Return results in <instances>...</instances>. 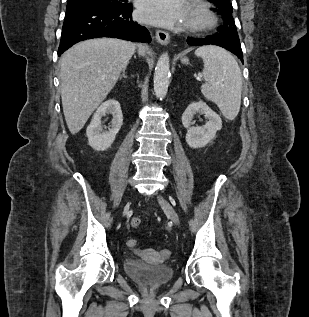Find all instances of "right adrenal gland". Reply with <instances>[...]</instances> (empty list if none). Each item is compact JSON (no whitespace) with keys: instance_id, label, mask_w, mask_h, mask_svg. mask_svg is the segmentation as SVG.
Wrapping results in <instances>:
<instances>
[{"instance_id":"obj_1","label":"right adrenal gland","mask_w":309,"mask_h":317,"mask_svg":"<svg viewBox=\"0 0 309 317\" xmlns=\"http://www.w3.org/2000/svg\"><path fill=\"white\" fill-rule=\"evenodd\" d=\"M122 78H127V76L125 75V69L122 71V74L120 76V79H122Z\"/></svg>"}]
</instances>
